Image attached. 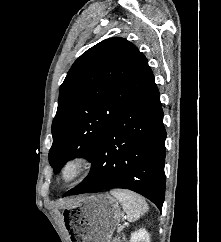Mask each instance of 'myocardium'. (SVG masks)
Here are the masks:
<instances>
[{"mask_svg":"<svg viewBox=\"0 0 221 242\" xmlns=\"http://www.w3.org/2000/svg\"><path fill=\"white\" fill-rule=\"evenodd\" d=\"M90 169V161L84 155H74L66 158L58 168V180L69 185L84 176Z\"/></svg>","mask_w":221,"mask_h":242,"instance_id":"1","label":"myocardium"}]
</instances>
